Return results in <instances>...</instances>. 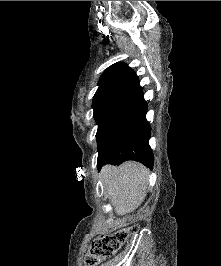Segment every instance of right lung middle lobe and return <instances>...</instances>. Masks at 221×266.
Here are the masks:
<instances>
[{
	"mask_svg": "<svg viewBox=\"0 0 221 266\" xmlns=\"http://www.w3.org/2000/svg\"><path fill=\"white\" fill-rule=\"evenodd\" d=\"M141 92V87L122 86L95 93L92 107L98 125L96 133L98 148L111 135Z\"/></svg>",
	"mask_w": 221,
	"mask_h": 266,
	"instance_id": "obj_1",
	"label": "right lung middle lobe"
}]
</instances>
